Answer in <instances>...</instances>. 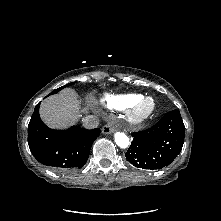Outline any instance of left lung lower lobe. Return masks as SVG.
Segmentation results:
<instances>
[{
    "label": "left lung lower lobe",
    "instance_id": "left-lung-lower-lobe-1",
    "mask_svg": "<svg viewBox=\"0 0 221 221\" xmlns=\"http://www.w3.org/2000/svg\"><path fill=\"white\" fill-rule=\"evenodd\" d=\"M185 126L178 110L167 113L153 127L132 133L134 137L125 153L128 161L143 169H160L169 165L180 153Z\"/></svg>",
    "mask_w": 221,
    "mask_h": 221
}]
</instances>
